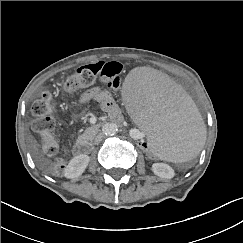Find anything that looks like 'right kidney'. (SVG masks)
<instances>
[{
	"label": "right kidney",
	"instance_id": "1",
	"mask_svg": "<svg viewBox=\"0 0 243 243\" xmlns=\"http://www.w3.org/2000/svg\"><path fill=\"white\" fill-rule=\"evenodd\" d=\"M89 161L90 157L88 155L82 154L75 156L70 160L65 169V177L75 178L80 176L87 168Z\"/></svg>",
	"mask_w": 243,
	"mask_h": 243
}]
</instances>
